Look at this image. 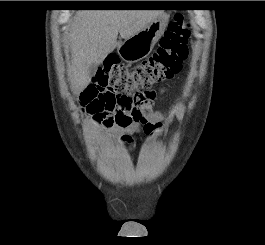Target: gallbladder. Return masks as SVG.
Here are the masks:
<instances>
[{"mask_svg":"<svg viewBox=\"0 0 265 245\" xmlns=\"http://www.w3.org/2000/svg\"><path fill=\"white\" fill-rule=\"evenodd\" d=\"M96 71H97V64L96 63L91 64L88 69L89 75L93 76Z\"/></svg>","mask_w":265,"mask_h":245,"instance_id":"obj_1","label":"gallbladder"}]
</instances>
